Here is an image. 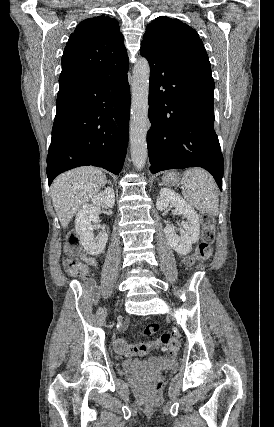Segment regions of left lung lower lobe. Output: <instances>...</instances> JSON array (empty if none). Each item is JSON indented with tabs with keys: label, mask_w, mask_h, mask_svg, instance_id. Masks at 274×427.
<instances>
[{
	"label": "left lung lower lobe",
	"mask_w": 274,
	"mask_h": 427,
	"mask_svg": "<svg viewBox=\"0 0 274 427\" xmlns=\"http://www.w3.org/2000/svg\"><path fill=\"white\" fill-rule=\"evenodd\" d=\"M140 53L150 65V171L202 167L222 191L224 163L213 127L214 81L185 73L149 49L141 47Z\"/></svg>",
	"instance_id": "1"
}]
</instances>
